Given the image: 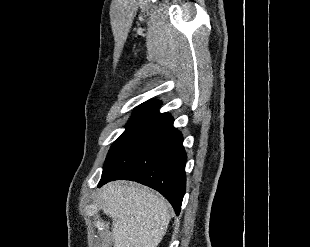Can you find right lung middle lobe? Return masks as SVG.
<instances>
[{"mask_svg": "<svg viewBox=\"0 0 310 247\" xmlns=\"http://www.w3.org/2000/svg\"><path fill=\"white\" fill-rule=\"evenodd\" d=\"M157 115L154 111L147 110H135L132 117L126 125V130L123 134L114 142L111 146L108 155L105 160V165H107L116 154L126 145V143L152 118Z\"/></svg>", "mask_w": 310, "mask_h": 247, "instance_id": "obj_1", "label": "right lung middle lobe"}]
</instances>
